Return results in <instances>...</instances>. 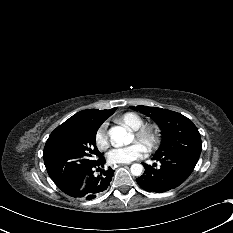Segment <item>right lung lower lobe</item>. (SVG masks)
I'll list each match as a JSON object with an SVG mask.
<instances>
[{"label": "right lung lower lobe", "instance_id": "right-lung-lower-lobe-1", "mask_svg": "<svg viewBox=\"0 0 233 233\" xmlns=\"http://www.w3.org/2000/svg\"><path fill=\"white\" fill-rule=\"evenodd\" d=\"M104 164L105 159L102 158L96 164L79 171L73 178L57 186L71 197L91 200L105 191L112 180L114 171L110 167L101 170ZM95 170L100 173L96 174Z\"/></svg>", "mask_w": 233, "mask_h": 233}]
</instances>
